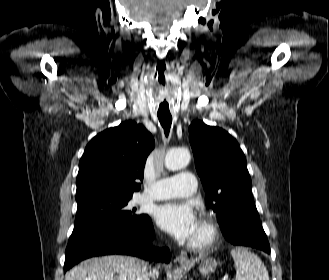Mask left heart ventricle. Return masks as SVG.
I'll use <instances>...</instances> for the list:
<instances>
[{"mask_svg": "<svg viewBox=\"0 0 329 280\" xmlns=\"http://www.w3.org/2000/svg\"><path fill=\"white\" fill-rule=\"evenodd\" d=\"M201 236H202V231H201V228H200V225H199V228H198V230H197V232H196V234H195L192 241H196V240L200 239Z\"/></svg>", "mask_w": 329, "mask_h": 280, "instance_id": "left-heart-ventricle-1", "label": "left heart ventricle"}]
</instances>
